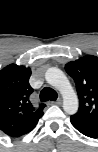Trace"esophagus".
Listing matches in <instances>:
<instances>
[{
  "instance_id": "34e87169",
  "label": "esophagus",
  "mask_w": 98,
  "mask_h": 152,
  "mask_svg": "<svg viewBox=\"0 0 98 152\" xmlns=\"http://www.w3.org/2000/svg\"><path fill=\"white\" fill-rule=\"evenodd\" d=\"M51 104L61 105L62 104V99L59 98L56 101L51 102Z\"/></svg>"
}]
</instances>
